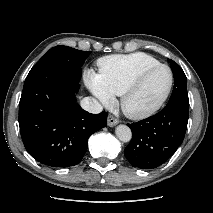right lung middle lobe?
<instances>
[{
    "label": "right lung middle lobe",
    "mask_w": 213,
    "mask_h": 213,
    "mask_svg": "<svg viewBox=\"0 0 213 213\" xmlns=\"http://www.w3.org/2000/svg\"><path fill=\"white\" fill-rule=\"evenodd\" d=\"M91 51H81L71 47L59 45L50 49L30 71L45 67H59L81 77V66Z\"/></svg>",
    "instance_id": "dd1d6c3e"
}]
</instances>
